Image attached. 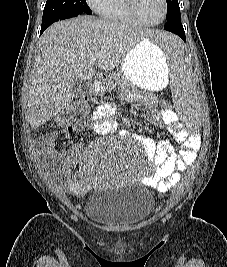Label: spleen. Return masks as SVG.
<instances>
[{
  "instance_id": "spleen-1",
  "label": "spleen",
  "mask_w": 227,
  "mask_h": 267,
  "mask_svg": "<svg viewBox=\"0 0 227 267\" xmlns=\"http://www.w3.org/2000/svg\"><path fill=\"white\" fill-rule=\"evenodd\" d=\"M151 41L157 43L162 55H166L171 77V87L174 88L175 105H199V100H195L192 76H189L188 68L190 63H184L183 55H187V50L176 36L172 33H155L151 36ZM177 115H200V106H176ZM201 116H179V125L182 129H203L200 124Z\"/></svg>"
}]
</instances>
